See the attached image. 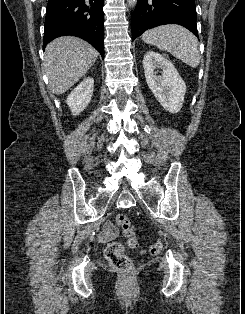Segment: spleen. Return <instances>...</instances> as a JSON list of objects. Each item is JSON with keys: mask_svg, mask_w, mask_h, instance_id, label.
<instances>
[{"mask_svg": "<svg viewBox=\"0 0 245 314\" xmlns=\"http://www.w3.org/2000/svg\"><path fill=\"white\" fill-rule=\"evenodd\" d=\"M145 43L169 52L190 67L200 63L198 39L190 31L179 25H162L149 29L142 35Z\"/></svg>", "mask_w": 245, "mask_h": 314, "instance_id": "3e777b00", "label": "spleen"}]
</instances>
